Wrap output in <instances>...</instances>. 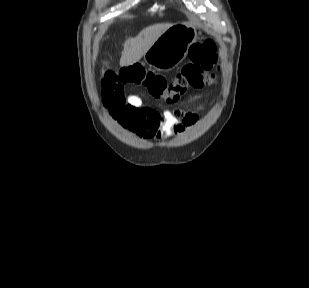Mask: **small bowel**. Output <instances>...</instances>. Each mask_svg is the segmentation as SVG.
Masks as SVG:
<instances>
[{
	"label": "small bowel",
	"mask_w": 309,
	"mask_h": 288,
	"mask_svg": "<svg viewBox=\"0 0 309 288\" xmlns=\"http://www.w3.org/2000/svg\"><path fill=\"white\" fill-rule=\"evenodd\" d=\"M127 103L131 111L118 120L122 126L129 129L131 134L144 141L169 138L199 121V115L196 112L180 109L161 112L155 108L143 106L141 98L137 95H130Z\"/></svg>",
	"instance_id": "1"
}]
</instances>
